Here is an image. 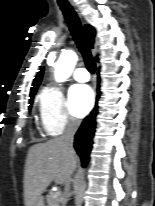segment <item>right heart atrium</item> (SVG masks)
I'll use <instances>...</instances> for the list:
<instances>
[{
  "mask_svg": "<svg viewBox=\"0 0 155 206\" xmlns=\"http://www.w3.org/2000/svg\"><path fill=\"white\" fill-rule=\"evenodd\" d=\"M40 120L48 135H59L78 126V119L71 113L63 92L57 87H47L41 93Z\"/></svg>",
  "mask_w": 155,
  "mask_h": 206,
  "instance_id": "d8ad5b80",
  "label": "right heart atrium"
}]
</instances>
